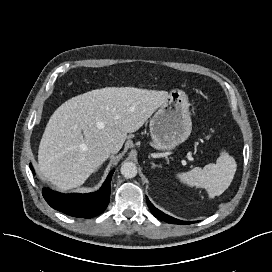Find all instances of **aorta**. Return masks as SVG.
I'll list each match as a JSON object with an SVG mask.
<instances>
[{
    "label": "aorta",
    "instance_id": "obj_1",
    "mask_svg": "<svg viewBox=\"0 0 272 272\" xmlns=\"http://www.w3.org/2000/svg\"><path fill=\"white\" fill-rule=\"evenodd\" d=\"M121 174L125 178H133L137 175V166L133 162H124L121 166Z\"/></svg>",
    "mask_w": 272,
    "mask_h": 272
}]
</instances>
